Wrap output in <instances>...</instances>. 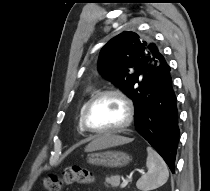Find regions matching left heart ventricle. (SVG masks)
Instances as JSON below:
<instances>
[{
	"label": "left heart ventricle",
	"instance_id": "1",
	"mask_svg": "<svg viewBox=\"0 0 210 191\" xmlns=\"http://www.w3.org/2000/svg\"><path fill=\"white\" fill-rule=\"evenodd\" d=\"M126 118L123 102L115 96L99 99L90 109L88 122L96 129H108L119 126Z\"/></svg>",
	"mask_w": 210,
	"mask_h": 191
}]
</instances>
